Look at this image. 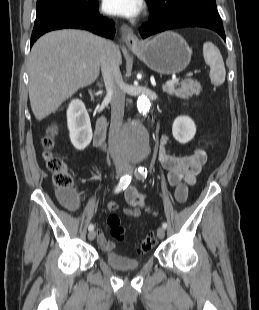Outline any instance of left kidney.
Masks as SVG:
<instances>
[{
  "instance_id": "obj_1",
  "label": "left kidney",
  "mask_w": 259,
  "mask_h": 310,
  "mask_svg": "<svg viewBox=\"0 0 259 310\" xmlns=\"http://www.w3.org/2000/svg\"><path fill=\"white\" fill-rule=\"evenodd\" d=\"M172 134L175 140L179 143H188L196 134V126L194 121L188 116L177 117L173 122Z\"/></svg>"
}]
</instances>
